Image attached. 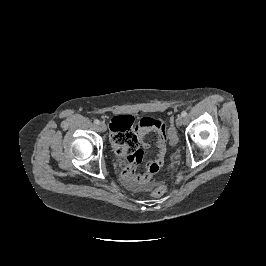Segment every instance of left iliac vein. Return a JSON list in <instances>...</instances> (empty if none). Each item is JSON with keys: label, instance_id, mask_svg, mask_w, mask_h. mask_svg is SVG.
Returning a JSON list of instances; mask_svg holds the SVG:
<instances>
[{"label": "left iliac vein", "instance_id": "obj_1", "mask_svg": "<svg viewBox=\"0 0 266 266\" xmlns=\"http://www.w3.org/2000/svg\"><path fill=\"white\" fill-rule=\"evenodd\" d=\"M184 123V118L182 115H179L177 118H176V125L177 126H182Z\"/></svg>", "mask_w": 266, "mask_h": 266}]
</instances>
